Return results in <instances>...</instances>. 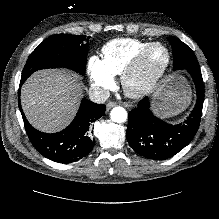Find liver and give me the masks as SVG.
Wrapping results in <instances>:
<instances>
[{"mask_svg":"<svg viewBox=\"0 0 219 219\" xmlns=\"http://www.w3.org/2000/svg\"><path fill=\"white\" fill-rule=\"evenodd\" d=\"M77 76L65 70H42L23 85L21 104L28 121L44 132H57L74 117L81 97Z\"/></svg>","mask_w":219,"mask_h":219,"instance_id":"1","label":"liver"}]
</instances>
